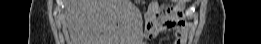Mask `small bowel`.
<instances>
[{
  "label": "small bowel",
  "mask_w": 261,
  "mask_h": 44,
  "mask_svg": "<svg viewBox=\"0 0 261 44\" xmlns=\"http://www.w3.org/2000/svg\"><path fill=\"white\" fill-rule=\"evenodd\" d=\"M184 6L185 4L166 8L157 1L151 2L148 9V22L151 23L149 35L156 36L158 32H170L175 37V44L183 43L189 28L183 11ZM165 15L168 18L163 20Z\"/></svg>",
  "instance_id": "obj_1"
}]
</instances>
